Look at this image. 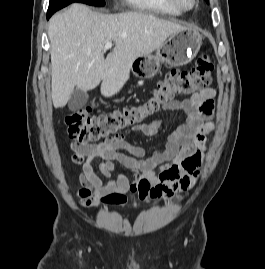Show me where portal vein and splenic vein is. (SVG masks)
<instances>
[{
  "label": "portal vein and splenic vein",
  "instance_id": "obj_1",
  "mask_svg": "<svg viewBox=\"0 0 265 269\" xmlns=\"http://www.w3.org/2000/svg\"><path fill=\"white\" fill-rule=\"evenodd\" d=\"M111 48H112V42H108L104 46V50H108V49H111Z\"/></svg>",
  "mask_w": 265,
  "mask_h": 269
}]
</instances>
